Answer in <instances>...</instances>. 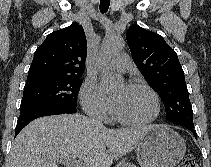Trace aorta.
<instances>
[{
  "label": "aorta",
  "mask_w": 211,
  "mask_h": 167,
  "mask_svg": "<svg viewBox=\"0 0 211 167\" xmlns=\"http://www.w3.org/2000/svg\"><path fill=\"white\" fill-rule=\"evenodd\" d=\"M125 46V42L122 37L117 35L107 36L101 45L100 56L102 60H108L116 53L120 52ZM102 81L107 87H115L120 85L123 81L121 76L114 75L109 71L102 70Z\"/></svg>",
  "instance_id": "obj_1"
}]
</instances>
